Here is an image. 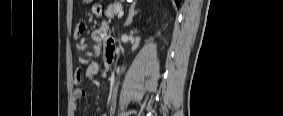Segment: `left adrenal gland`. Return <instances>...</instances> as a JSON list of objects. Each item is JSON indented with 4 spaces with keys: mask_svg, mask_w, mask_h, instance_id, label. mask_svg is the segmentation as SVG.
<instances>
[{
    "mask_svg": "<svg viewBox=\"0 0 283 116\" xmlns=\"http://www.w3.org/2000/svg\"><path fill=\"white\" fill-rule=\"evenodd\" d=\"M135 5L136 2H134L131 7L129 8V13H128V17L126 19V22L124 23V26H129L132 22V19L134 17V15L137 14L138 11H135Z\"/></svg>",
    "mask_w": 283,
    "mask_h": 116,
    "instance_id": "obj_1",
    "label": "left adrenal gland"
}]
</instances>
